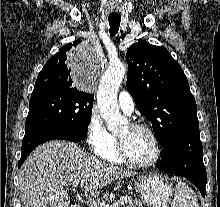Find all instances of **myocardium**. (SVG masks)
<instances>
[{
	"label": "myocardium",
	"mask_w": 220,
	"mask_h": 207,
	"mask_svg": "<svg viewBox=\"0 0 220 207\" xmlns=\"http://www.w3.org/2000/svg\"><path fill=\"white\" fill-rule=\"evenodd\" d=\"M129 126L132 129L144 130L150 135L155 146V155L153 159L149 162H145V163L136 162L129 157L123 140L117 136L116 137V149H117L118 156L125 164L132 166V167L149 168V167L154 166L159 161L160 156H161V144L156 133L153 131L151 127L143 123L132 122L129 124Z\"/></svg>",
	"instance_id": "obj_1"
}]
</instances>
